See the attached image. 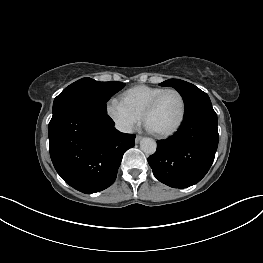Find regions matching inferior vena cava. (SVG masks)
<instances>
[{
  "instance_id": "602c4592",
  "label": "inferior vena cava",
  "mask_w": 263,
  "mask_h": 263,
  "mask_svg": "<svg viewBox=\"0 0 263 263\" xmlns=\"http://www.w3.org/2000/svg\"><path fill=\"white\" fill-rule=\"evenodd\" d=\"M116 128L124 133H132V128L129 125H117Z\"/></svg>"
}]
</instances>
